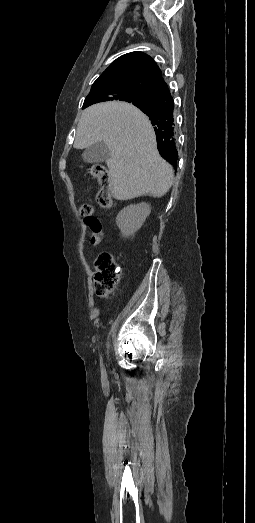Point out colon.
I'll return each instance as SVG.
<instances>
[{
    "instance_id": "colon-1",
    "label": "colon",
    "mask_w": 255,
    "mask_h": 523,
    "mask_svg": "<svg viewBox=\"0 0 255 523\" xmlns=\"http://www.w3.org/2000/svg\"><path fill=\"white\" fill-rule=\"evenodd\" d=\"M91 175L99 183V191L96 196L98 204L104 209H111L114 205L112 196V187L110 175L107 168L103 165H94L90 168ZM81 216L85 222H90L94 216V208L91 204H82L79 208ZM94 287L96 294L100 297L108 296L120 278V270L118 264L109 252H101L94 263Z\"/></svg>"
}]
</instances>
